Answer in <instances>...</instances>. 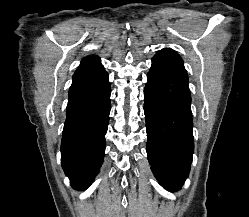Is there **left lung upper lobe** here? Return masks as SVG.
Instances as JSON below:
<instances>
[{
  "label": "left lung upper lobe",
  "mask_w": 249,
  "mask_h": 217,
  "mask_svg": "<svg viewBox=\"0 0 249 217\" xmlns=\"http://www.w3.org/2000/svg\"><path fill=\"white\" fill-rule=\"evenodd\" d=\"M154 57H170L172 59L178 60L179 62L183 63V60L179 56V54L170 48H165L158 51Z\"/></svg>",
  "instance_id": "1"
}]
</instances>
